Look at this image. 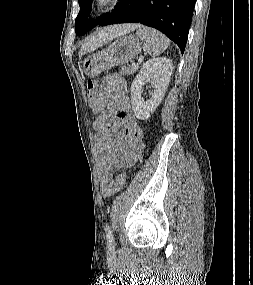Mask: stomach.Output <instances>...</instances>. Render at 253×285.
I'll list each match as a JSON object with an SVG mask.
<instances>
[{
  "label": "stomach",
  "mask_w": 253,
  "mask_h": 285,
  "mask_svg": "<svg viewBox=\"0 0 253 285\" xmlns=\"http://www.w3.org/2000/svg\"><path fill=\"white\" fill-rule=\"evenodd\" d=\"M141 42L135 36H123L102 51L88 56L82 62L83 73L93 78L102 71L131 61L140 51Z\"/></svg>",
  "instance_id": "obj_1"
}]
</instances>
